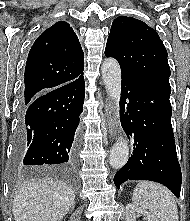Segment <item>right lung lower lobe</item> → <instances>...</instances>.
<instances>
[{
	"label": "right lung lower lobe",
	"instance_id": "98d812e1",
	"mask_svg": "<svg viewBox=\"0 0 190 221\" xmlns=\"http://www.w3.org/2000/svg\"><path fill=\"white\" fill-rule=\"evenodd\" d=\"M84 94L81 75L26 103L22 101L14 147L16 170L75 162Z\"/></svg>",
	"mask_w": 190,
	"mask_h": 221
}]
</instances>
